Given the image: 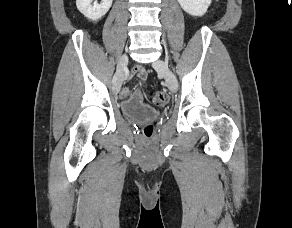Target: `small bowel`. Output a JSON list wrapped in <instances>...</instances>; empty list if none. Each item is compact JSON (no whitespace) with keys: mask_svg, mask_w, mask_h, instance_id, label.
<instances>
[{"mask_svg":"<svg viewBox=\"0 0 292 228\" xmlns=\"http://www.w3.org/2000/svg\"><path fill=\"white\" fill-rule=\"evenodd\" d=\"M133 77L139 81L144 80L147 77V71L145 70L144 67L136 65L131 69L129 74V78ZM120 95L122 98L129 99L130 101L135 103H141L143 101L141 92L139 90L132 92V90L129 87H124L121 90Z\"/></svg>","mask_w":292,"mask_h":228,"instance_id":"1","label":"small bowel"}]
</instances>
